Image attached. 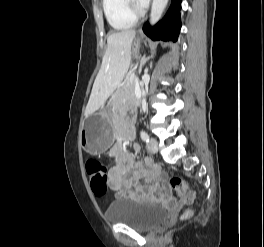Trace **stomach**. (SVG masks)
<instances>
[{
	"label": "stomach",
	"instance_id": "stomach-1",
	"mask_svg": "<svg viewBox=\"0 0 264 247\" xmlns=\"http://www.w3.org/2000/svg\"><path fill=\"white\" fill-rule=\"evenodd\" d=\"M140 40L137 39L133 53L137 56ZM115 127L111 119V103L101 111L86 116L79 131L83 149L89 154H100L111 145Z\"/></svg>",
	"mask_w": 264,
	"mask_h": 247
}]
</instances>
